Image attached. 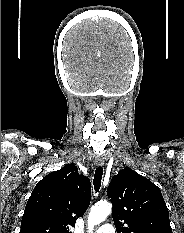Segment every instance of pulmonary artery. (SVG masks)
Listing matches in <instances>:
<instances>
[{"instance_id":"e3ab8cb5","label":"pulmonary artery","mask_w":184,"mask_h":233,"mask_svg":"<svg viewBox=\"0 0 184 233\" xmlns=\"http://www.w3.org/2000/svg\"><path fill=\"white\" fill-rule=\"evenodd\" d=\"M95 233H116L112 224L106 223L96 229Z\"/></svg>"}]
</instances>
